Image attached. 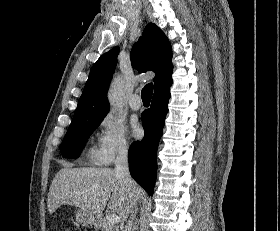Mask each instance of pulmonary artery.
Here are the masks:
<instances>
[{"instance_id": "1", "label": "pulmonary artery", "mask_w": 280, "mask_h": 231, "mask_svg": "<svg viewBox=\"0 0 280 231\" xmlns=\"http://www.w3.org/2000/svg\"><path fill=\"white\" fill-rule=\"evenodd\" d=\"M138 95L134 94L129 98V106L133 110H138L141 108L142 103L140 101H137Z\"/></svg>"}]
</instances>
